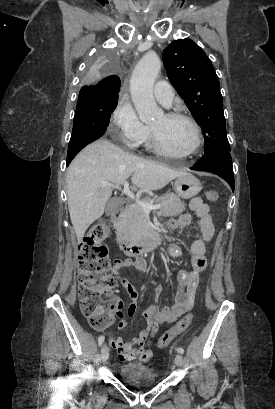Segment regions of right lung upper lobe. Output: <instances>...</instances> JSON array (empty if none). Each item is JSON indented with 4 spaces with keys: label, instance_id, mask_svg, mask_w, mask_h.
Returning <instances> with one entry per match:
<instances>
[{
    "label": "right lung upper lobe",
    "instance_id": "1",
    "mask_svg": "<svg viewBox=\"0 0 275 409\" xmlns=\"http://www.w3.org/2000/svg\"><path fill=\"white\" fill-rule=\"evenodd\" d=\"M120 79L116 75H110L107 79L101 80L100 85L83 86L79 94L100 98L118 97Z\"/></svg>",
    "mask_w": 275,
    "mask_h": 409
}]
</instances>
